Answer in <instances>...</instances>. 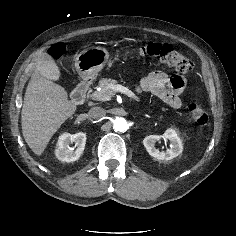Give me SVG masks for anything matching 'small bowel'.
I'll return each instance as SVG.
<instances>
[{"label":"small bowel","mask_w":236,"mask_h":236,"mask_svg":"<svg viewBox=\"0 0 236 236\" xmlns=\"http://www.w3.org/2000/svg\"><path fill=\"white\" fill-rule=\"evenodd\" d=\"M185 84L184 77L180 75L154 71L141 80L139 90L150 92L172 108L179 109L182 106L180 95L184 91Z\"/></svg>","instance_id":"small-bowel-1"}]
</instances>
